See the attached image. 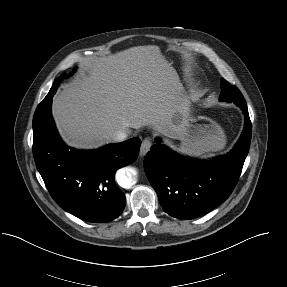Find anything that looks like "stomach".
<instances>
[{
    "label": "stomach",
    "mask_w": 287,
    "mask_h": 287,
    "mask_svg": "<svg viewBox=\"0 0 287 287\" xmlns=\"http://www.w3.org/2000/svg\"><path fill=\"white\" fill-rule=\"evenodd\" d=\"M178 139L181 151L194 156L219 151L226 144L221 126L209 117L197 115L194 110L189 111Z\"/></svg>",
    "instance_id": "1"
}]
</instances>
